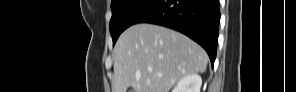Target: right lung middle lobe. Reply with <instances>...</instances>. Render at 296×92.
I'll use <instances>...</instances> for the list:
<instances>
[{
	"label": "right lung middle lobe",
	"mask_w": 296,
	"mask_h": 92,
	"mask_svg": "<svg viewBox=\"0 0 296 92\" xmlns=\"http://www.w3.org/2000/svg\"><path fill=\"white\" fill-rule=\"evenodd\" d=\"M157 0H112V18L109 24L110 34L115 44L119 35L134 24L149 7Z\"/></svg>",
	"instance_id": "dd1d6c3e"
}]
</instances>
